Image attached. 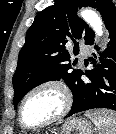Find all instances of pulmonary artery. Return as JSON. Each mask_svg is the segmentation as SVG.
Wrapping results in <instances>:
<instances>
[{
  "label": "pulmonary artery",
  "instance_id": "obj_1",
  "mask_svg": "<svg viewBox=\"0 0 116 134\" xmlns=\"http://www.w3.org/2000/svg\"><path fill=\"white\" fill-rule=\"evenodd\" d=\"M80 54L82 56H88V55H90V48L88 46H86V45H82L80 47Z\"/></svg>",
  "mask_w": 116,
  "mask_h": 134
}]
</instances>
